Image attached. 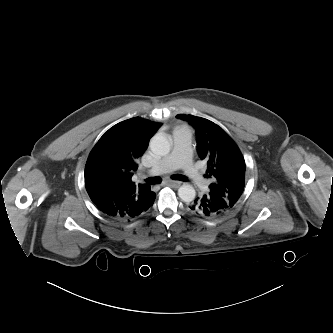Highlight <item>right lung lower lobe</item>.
I'll list each match as a JSON object with an SVG mask.
<instances>
[{"label": "right lung lower lobe", "mask_w": 333, "mask_h": 333, "mask_svg": "<svg viewBox=\"0 0 333 333\" xmlns=\"http://www.w3.org/2000/svg\"><path fill=\"white\" fill-rule=\"evenodd\" d=\"M155 197L156 194L150 190L145 205L127 206L121 201L111 199L95 202V205L107 216L118 220H130L146 212L153 205Z\"/></svg>", "instance_id": "obj_1"}]
</instances>
